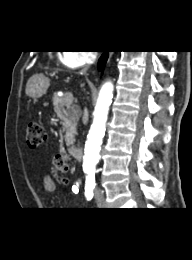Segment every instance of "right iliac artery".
<instances>
[{
  "instance_id": "82829eb1",
  "label": "right iliac artery",
  "mask_w": 192,
  "mask_h": 260,
  "mask_svg": "<svg viewBox=\"0 0 192 260\" xmlns=\"http://www.w3.org/2000/svg\"><path fill=\"white\" fill-rule=\"evenodd\" d=\"M93 187H85V197L87 200H91L93 198Z\"/></svg>"
}]
</instances>
